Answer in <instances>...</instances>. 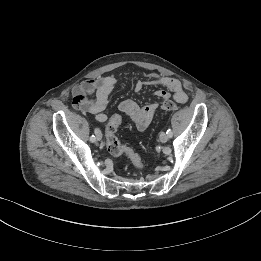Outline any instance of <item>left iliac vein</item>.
<instances>
[{
	"label": "left iliac vein",
	"mask_w": 261,
	"mask_h": 261,
	"mask_svg": "<svg viewBox=\"0 0 261 261\" xmlns=\"http://www.w3.org/2000/svg\"><path fill=\"white\" fill-rule=\"evenodd\" d=\"M159 139L162 143H166L168 141V135L165 132H161Z\"/></svg>",
	"instance_id": "obj_1"
}]
</instances>
